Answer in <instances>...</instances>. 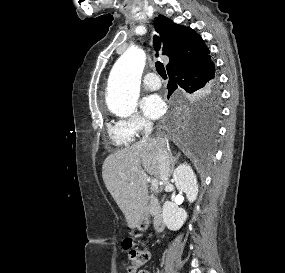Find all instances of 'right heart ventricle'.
Segmentation results:
<instances>
[{
	"mask_svg": "<svg viewBox=\"0 0 285 273\" xmlns=\"http://www.w3.org/2000/svg\"><path fill=\"white\" fill-rule=\"evenodd\" d=\"M108 135L112 143L117 147H126L133 141V137L127 134L118 123L109 124L107 127Z\"/></svg>",
	"mask_w": 285,
	"mask_h": 273,
	"instance_id": "obj_1",
	"label": "right heart ventricle"
}]
</instances>
